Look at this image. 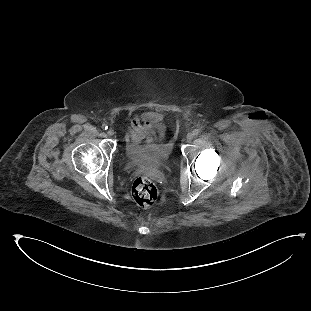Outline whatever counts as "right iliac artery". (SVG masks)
<instances>
[{
  "instance_id": "obj_1",
  "label": "right iliac artery",
  "mask_w": 311,
  "mask_h": 311,
  "mask_svg": "<svg viewBox=\"0 0 311 311\" xmlns=\"http://www.w3.org/2000/svg\"><path fill=\"white\" fill-rule=\"evenodd\" d=\"M102 129L106 130V129H108V126L106 124H103Z\"/></svg>"
}]
</instances>
